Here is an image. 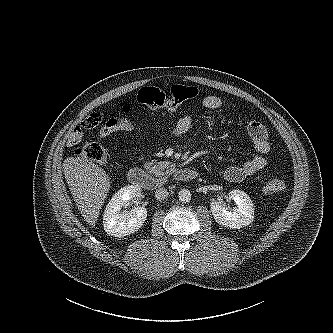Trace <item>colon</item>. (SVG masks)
I'll return each mask as SVG.
<instances>
[{
	"mask_svg": "<svg viewBox=\"0 0 333 333\" xmlns=\"http://www.w3.org/2000/svg\"><path fill=\"white\" fill-rule=\"evenodd\" d=\"M197 95V88L192 86L172 85L167 91L157 87H144L139 90L137 101L153 109L174 110ZM128 109V105H122L120 112H126ZM75 154L98 164L103 163L106 158L104 148L96 142L86 143L77 149ZM285 187L286 183L284 179L273 178L266 182L262 189L265 193H272L281 191Z\"/></svg>",
	"mask_w": 333,
	"mask_h": 333,
	"instance_id": "1",
	"label": "colon"
}]
</instances>
